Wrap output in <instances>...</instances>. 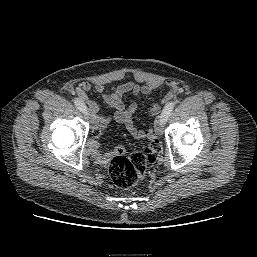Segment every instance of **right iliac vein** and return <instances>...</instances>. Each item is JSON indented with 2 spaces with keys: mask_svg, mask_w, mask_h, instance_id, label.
<instances>
[{
  "mask_svg": "<svg viewBox=\"0 0 257 257\" xmlns=\"http://www.w3.org/2000/svg\"><path fill=\"white\" fill-rule=\"evenodd\" d=\"M84 116H85V119L91 121L92 123H94V116L92 114V112L90 111V109H86L85 112H84Z\"/></svg>",
  "mask_w": 257,
  "mask_h": 257,
  "instance_id": "right-iliac-vein-1",
  "label": "right iliac vein"
}]
</instances>
